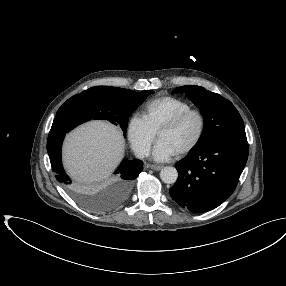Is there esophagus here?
Here are the masks:
<instances>
[{"label": "esophagus", "instance_id": "34e87169", "mask_svg": "<svg viewBox=\"0 0 286 286\" xmlns=\"http://www.w3.org/2000/svg\"><path fill=\"white\" fill-rule=\"evenodd\" d=\"M149 167L153 170H161L163 168L162 165H150Z\"/></svg>", "mask_w": 286, "mask_h": 286}]
</instances>
